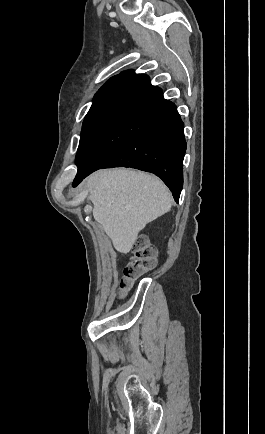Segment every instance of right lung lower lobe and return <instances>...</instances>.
Masks as SVG:
<instances>
[{"instance_id":"right-lung-lower-lobe-1","label":"right lung lower lobe","mask_w":265,"mask_h":434,"mask_svg":"<svg viewBox=\"0 0 265 434\" xmlns=\"http://www.w3.org/2000/svg\"><path fill=\"white\" fill-rule=\"evenodd\" d=\"M186 150L184 124L176 106L163 99L149 77L135 75L124 88L77 165L73 181L102 168L131 167L160 177L179 201Z\"/></svg>"}]
</instances>
